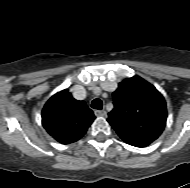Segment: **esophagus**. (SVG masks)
I'll return each instance as SVG.
<instances>
[{"label":"esophagus","instance_id":"esophagus-1","mask_svg":"<svg viewBox=\"0 0 190 188\" xmlns=\"http://www.w3.org/2000/svg\"><path fill=\"white\" fill-rule=\"evenodd\" d=\"M94 113L97 117H105L107 114L105 110H95Z\"/></svg>","mask_w":190,"mask_h":188}]
</instances>
